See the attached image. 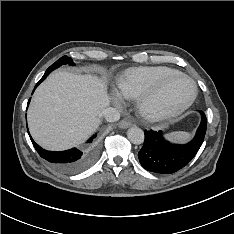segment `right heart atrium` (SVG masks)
Listing matches in <instances>:
<instances>
[{"mask_svg":"<svg viewBox=\"0 0 234 234\" xmlns=\"http://www.w3.org/2000/svg\"><path fill=\"white\" fill-rule=\"evenodd\" d=\"M114 101H115L116 104H121V102H122L121 96L119 94H116L114 96Z\"/></svg>","mask_w":234,"mask_h":234,"instance_id":"1","label":"right heart atrium"}]
</instances>
